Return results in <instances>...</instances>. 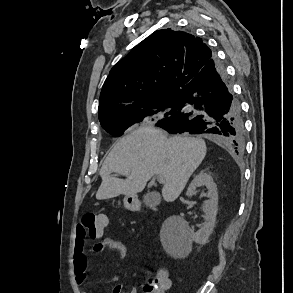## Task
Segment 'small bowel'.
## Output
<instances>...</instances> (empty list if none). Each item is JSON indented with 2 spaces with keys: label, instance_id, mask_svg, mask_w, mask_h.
<instances>
[{
  "label": "small bowel",
  "instance_id": "1",
  "mask_svg": "<svg viewBox=\"0 0 293 293\" xmlns=\"http://www.w3.org/2000/svg\"><path fill=\"white\" fill-rule=\"evenodd\" d=\"M107 250H113L118 253V256L123 259L127 255L126 245L114 238L101 236L89 250L86 247V236L83 229L79 226L76 230L75 246L73 255V270L79 283H84L89 265L90 254H101ZM171 286L170 279L168 280V289ZM113 293H140L135 287L126 289L123 283H117L112 286ZM82 293H90L83 291Z\"/></svg>",
  "mask_w": 293,
  "mask_h": 293
}]
</instances>
